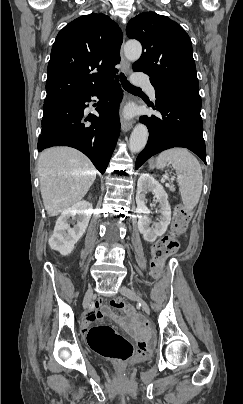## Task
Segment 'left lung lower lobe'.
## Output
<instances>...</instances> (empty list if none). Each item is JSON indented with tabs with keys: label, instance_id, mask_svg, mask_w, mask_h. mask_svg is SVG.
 <instances>
[{
	"label": "left lung lower lobe",
	"instance_id": "0a47b994",
	"mask_svg": "<svg viewBox=\"0 0 243 404\" xmlns=\"http://www.w3.org/2000/svg\"><path fill=\"white\" fill-rule=\"evenodd\" d=\"M156 110L160 112V117L152 115L140 118L148 127L149 139L145 149L137 157L135 169L151 156L173 147L188 148L206 164L200 116L201 97L181 93L156 95Z\"/></svg>",
	"mask_w": 243,
	"mask_h": 404
}]
</instances>
